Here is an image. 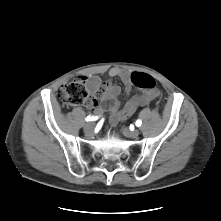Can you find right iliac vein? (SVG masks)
<instances>
[{
	"mask_svg": "<svg viewBox=\"0 0 221 221\" xmlns=\"http://www.w3.org/2000/svg\"><path fill=\"white\" fill-rule=\"evenodd\" d=\"M94 130V123L90 122L84 125V131L88 134H91Z\"/></svg>",
	"mask_w": 221,
	"mask_h": 221,
	"instance_id": "obj_1",
	"label": "right iliac vein"
}]
</instances>
